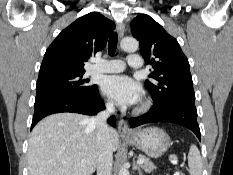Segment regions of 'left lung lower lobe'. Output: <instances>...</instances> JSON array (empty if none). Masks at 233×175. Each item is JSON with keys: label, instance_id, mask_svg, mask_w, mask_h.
<instances>
[{"label": "left lung lower lobe", "instance_id": "0a47b994", "mask_svg": "<svg viewBox=\"0 0 233 175\" xmlns=\"http://www.w3.org/2000/svg\"><path fill=\"white\" fill-rule=\"evenodd\" d=\"M170 122L190 129L200 140V129L197 123L195 101L179 100L168 104L164 108H151L146 114L130 118L132 128L146 123Z\"/></svg>", "mask_w": 233, "mask_h": 175}]
</instances>
